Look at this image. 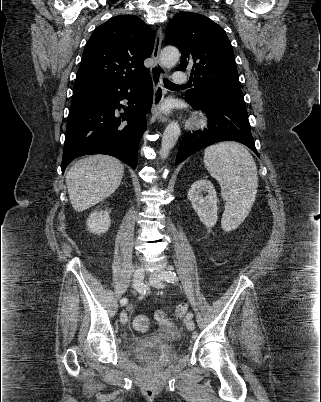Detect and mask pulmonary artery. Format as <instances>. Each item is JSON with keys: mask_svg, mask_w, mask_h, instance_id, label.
<instances>
[{"mask_svg": "<svg viewBox=\"0 0 321 402\" xmlns=\"http://www.w3.org/2000/svg\"><path fill=\"white\" fill-rule=\"evenodd\" d=\"M188 81L189 77L184 71H176L173 75V82L177 85L186 84Z\"/></svg>", "mask_w": 321, "mask_h": 402, "instance_id": "pulmonary-artery-1", "label": "pulmonary artery"}]
</instances>
